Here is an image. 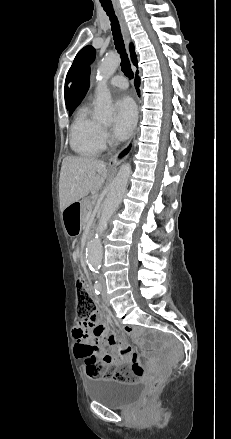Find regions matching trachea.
<instances>
[{
	"instance_id": "trachea-1",
	"label": "trachea",
	"mask_w": 231,
	"mask_h": 439,
	"mask_svg": "<svg viewBox=\"0 0 231 439\" xmlns=\"http://www.w3.org/2000/svg\"><path fill=\"white\" fill-rule=\"evenodd\" d=\"M101 6L109 16L111 21V30H112L115 48L117 52L120 54V58H121V69L129 79H132L134 74L131 69L130 62L125 50V45L122 39L119 21L115 15L113 6L111 3H104V2H101Z\"/></svg>"
}]
</instances>
